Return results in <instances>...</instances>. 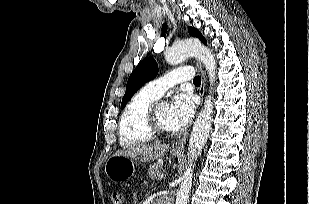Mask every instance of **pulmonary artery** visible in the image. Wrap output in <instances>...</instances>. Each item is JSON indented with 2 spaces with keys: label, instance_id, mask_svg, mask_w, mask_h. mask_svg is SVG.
<instances>
[{
  "label": "pulmonary artery",
  "instance_id": "e3ab8cb5",
  "mask_svg": "<svg viewBox=\"0 0 309 204\" xmlns=\"http://www.w3.org/2000/svg\"><path fill=\"white\" fill-rule=\"evenodd\" d=\"M194 77V71L190 67H185L168 72L166 75L148 82L143 90L158 98L165 91L174 87L178 83L191 80Z\"/></svg>",
  "mask_w": 309,
  "mask_h": 204
}]
</instances>
